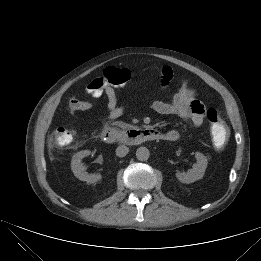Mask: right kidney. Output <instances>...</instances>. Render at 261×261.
Masks as SVG:
<instances>
[{
	"label": "right kidney",
	"mask_w": 261,
	"mask_h": 261,
	"mask_svg": "<svg viewBox=\"0 0 261 261\" xmlns=\"http://www.w3.org/2000/svg\"><path fill=\"white\" fill-rule=\"evenodd\" d=\"M89 150L79 151L73 155L71 160V169L74 175L81 181H86L88 183H95L101 179V175L99 174H88L85 172V168L82 165L81 161L84 157L90 155Z\"/></svg>",
	"instance_id": "right-kidney-1"
}]
</instances>
